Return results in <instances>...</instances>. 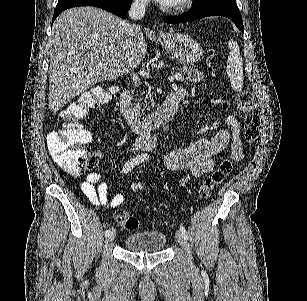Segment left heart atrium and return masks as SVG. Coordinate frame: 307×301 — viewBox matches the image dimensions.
Here are the masks:
<instances>
[{
    "label": "left heart atrium",
    "mask_w": 307,
    "mask_h": 301,
    "mask_svg": "<svg viewBox=\"0 0 307 301\" xmlns=\"http://www.w3.org/2000/svg\"><path fill=\"white\" fill-rule=\"evenodd\" d=\"M159 4H176L177 0H158ZM123 62H138V61H123Z\"/></svg>",
    "instance_id": "obj_1"
}]
</instances>
